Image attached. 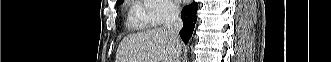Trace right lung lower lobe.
<instances>
[{"instance_id": "98d812e1", "label": "right lung lower lobe", "mask_w": 331, "mask_h": 62, "mask_svg": "<svg viewBox=\"0 0 331 62\" xmlns=\"http://www.w3.org/2000/svg\"><path fill=\"white\" fill-rule=\"evenodd\" d=\"M197 9H198V4L195 1H193L192 4L185 6L182 11L181 17L184 24L182 30L180 31V37L182 38L185 44L188 43L189 38L193 33L195 22L197 19L196 17Z\"/></svg>"}]
</instances>
